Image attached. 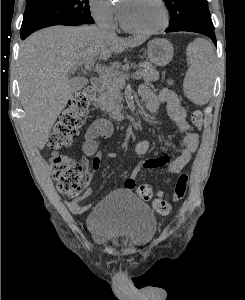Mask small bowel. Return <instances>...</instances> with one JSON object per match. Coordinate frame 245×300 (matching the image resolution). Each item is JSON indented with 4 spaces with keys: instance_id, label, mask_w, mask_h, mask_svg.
Segmentation results:
<instances>
[{
    "instance_id": "obj_1",
    "label": "small bowel",
    "mask_w": 245,
    "mask_h": 300,
    "mask_svg": "<svg viewBox=\"0 0 245 300\" xmlns=\"http://www.w3.org/2000/svg\"><path fill=\"white\" fill-rule=\"evenodd\" d=\"M140 94L145 101L146 107L151 112L158 110L161 104H166L168 115L184 135L182 140L183 149L177 157L164 155L137 163L133 167L129 177L125 180L124 188L127 191L134 189L135 180L143 169L164 167L167 176L179 174L189 163L199 145V135L195 127L190 123L186 109L182 106L178 95L173 90L164 88L160 92L155 93L151 87L144 85L140 89ZM112 133L113 125L107 119L95 120L85 132L82 151L86 157L93 158V172L97 171L100 165L102 156L99 151L100 141L110 137ZM150 147L151 144L148 140H141L135 145L134 152L137 156H143L149 152ZM117 156L114 152L107 153V157L112 159L117 158ZM90 194L91 190L88 189L85 191L83 197L86 198ZM67 207L73 214H82L89 208V205H82L78 199H73L67 202Z\"/></svg>"
}]
</instances>
